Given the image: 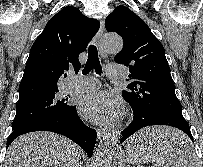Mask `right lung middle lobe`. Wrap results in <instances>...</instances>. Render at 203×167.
<instances>
[{"label": "right lung middle lobe", "instance_id": "1", "mask_svg": "<svg viewBox=\"0 0 203 167\" xmlns=\"http://www.w3.org/2000/svg\"><path fill=\"white\" fill-rule=\"evenodd\" d=\"M57 92L54 91L29 101L18 103L12 130L40 119L70 111L73 106L69 104L68 98H59Z\"/></svg>", "mask_w": 203, "mask_h": 167}]
</instances>
